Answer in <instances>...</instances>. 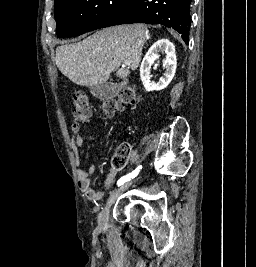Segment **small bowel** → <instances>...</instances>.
Instances as JSON below:
<instances>
[{
    "label": "small bowel",
    "instance_id": "obj_1",
    "mask_svg": "<svg viewBox=\"0 0 256 267\" xmlns=\"http://www.w3.org/2000/svg\"><path fill=\"white\" fill-rule=\"evenodd\" d=\"M71 133V146L75 153V164L78 167L77 176L80 189L90 201L97 202L104 197L105 193L103 191H96L92 186L91 174L95 172V167L93 165H89L87 169L80 168L79 151L83 147V137L78 123H73L71 125ZM116 177L117 171L112 169L104 180V188L111 187L114 184Z\"/></svg>",
    "mask_w": 256,
    "mask_h": 267
}]
</instances>
